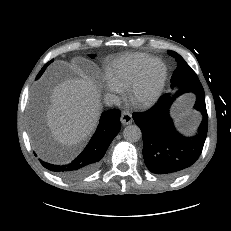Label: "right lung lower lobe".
<instances>
[{
	"mask_svg": "<svg viewBox=\"0 0 231 231\" xmlns=\"http://www.w3.org/2000/svg\"><path fill=\"white\" fill-rule=\"evenodd\" d=\"M120 114L118 109L103 112L92 139L73 161L54 165L40 160L41 164L48 170L67 178H78L95 171L110 143L120 131Z\"/></svg>",
	"mask_w": 231,
	"mask_h": 231,
	"instance_id": "obj_1",
	"label": "right lung lower lobe"
}]
</instances>
